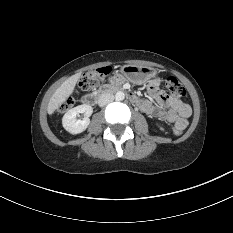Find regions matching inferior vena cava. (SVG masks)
I'll return each mask as SVG.
<instances>
[{"instance_id":"1","label":"inferior vena cava","mask_w":233,"mask_h":233,"mask_svg":"<svg viewBox=\"0 0 233 233\" xmlns=\"http://www.w3.org/2000/svg\"><path fill=\"white\" fill-rule=\"evenodd\" d=\"M114 101V95L110 93H104L102 94L98 99V105L100 107H103L111 102Z\"/></svg>"}]
</instances>
